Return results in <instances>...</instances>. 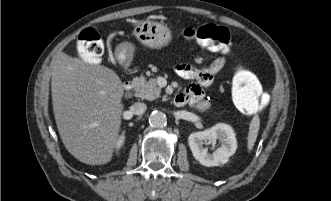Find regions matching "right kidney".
<instances>
[{
  "label": "right kidney",
  "instance_id": "obj_1",
  "mask_svg": "<svg viewBox=\"0 0 331 201\" xmlns=\"http://www.w3.org/2000/svg\"><path fill=\"white\" fill-rule=\"evenodd\" d=\"M123 141H124V136H121L120 139L117 142V147L118 148L123 144Z\"/></svg>",
  "mask_w": 331,
  "mask_h": 201
}]
</instances>
